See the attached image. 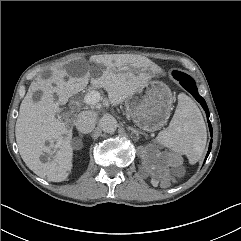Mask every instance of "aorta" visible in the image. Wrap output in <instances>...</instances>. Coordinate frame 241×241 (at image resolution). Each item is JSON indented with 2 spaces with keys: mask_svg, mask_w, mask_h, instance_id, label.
Returning <instances> with one entry per match:
<instances>
[{
  "mask_svg": "<svg viewBox=\"0 0 241 241\" xmlns=\"http://www.w3.org/2000/svg\"><path fill=\"white\" fill-rule=\"evenodd\" d=\"M99 125L103 132L113 133L117 129V120L110 114H105L99 121Z\"/></svg>",
  "mask_w": 241,
  "mask_h": 241,
  "instance_id": "1",
  "label": "aorta"
}]
</instances>
